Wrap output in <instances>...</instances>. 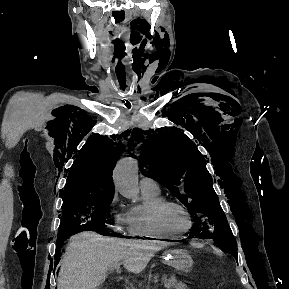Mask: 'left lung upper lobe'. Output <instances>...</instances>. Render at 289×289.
<instances>
[{"mask_svg":"<svg viewBox=\"0 0 289 289\" xmlns=\"http://www.w3.org/2000/svg\"><path fill=\"white\" fill-rule=\"evenodd\" d=\"M143 145L141 159L148 174L167 187L193 217L191 236L213 239L238 261L236 240L196 145L182 132L167 129L151 135Z\"/></svg>","mask_w":289,"mask_h":289,"instance_id":"5c2ea615","label":"left lung upper lobe"}]
</instances>
